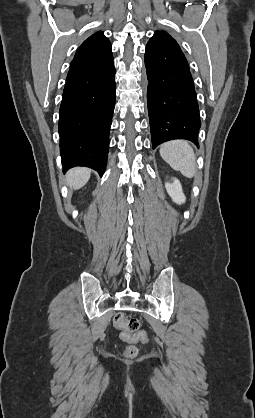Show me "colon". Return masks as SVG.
Returning a JSON list of instances; mask_svg holds the SVG:
<instances>
[{"label": "colon", "mask_w": 255, "mask_h": 418, "mask_svg": "<svg viewBox=\"0 0 255 418\" xmlns=\"http://www.w3.org/2000/svg\"><path fill=\"white\" fill-rule=\"evenodd\" d=\"M115 326L122 331V337L130 342L124 350V355L127 358H134L138 354L137 347L133 344L136 342H147V334L145 332H138L140 323L136 318H127L123 313H117L114 316Z\"/></svg>", "instance_id": "obj_1"}]
</instances>
